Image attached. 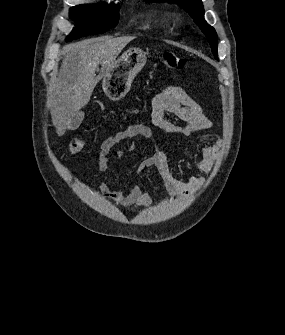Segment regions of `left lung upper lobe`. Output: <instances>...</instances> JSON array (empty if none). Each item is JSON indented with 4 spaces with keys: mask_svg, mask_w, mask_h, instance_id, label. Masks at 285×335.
I'll return each mask as SVG.
<instances>
[{
    "mask_svg": "<svg viewBox=\"0 0 285 335\" xmlns=\"http://www.w3.org/2000/svg\"><path fill=\"white\" fill-rule=\"evenodd\" d=\"M147 2H171L177 3L183 7L189 15L193 18L194 22L198 24L199 28L206 35L213 55L218 60L217 54V34L215 29L208 25L204 19V9L201 0H146Z\"/></svg>",
    "mask_w": 285,
    "mask_h": 335,
    "instance_id": "left-lung-upper-lobe-1",
    "label": "left lung upper lobe"
}]
</instances>
